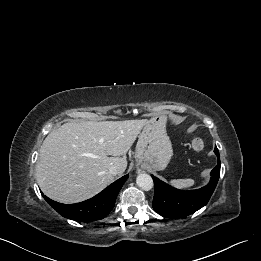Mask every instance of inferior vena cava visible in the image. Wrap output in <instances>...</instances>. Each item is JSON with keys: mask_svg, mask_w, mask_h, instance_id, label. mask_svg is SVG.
Here are the masks:
<instances>
[{"mask_svg": "<svg viewBox=\"0 0 261 261\" xmlns=\"http://www.w3.org/2000/svg\"><path fill=\"white\" fill-rule=\"evenodd\" d=\"M109 173L111 175L115 176V175L120 174L121 172H120V169L117 166H111L110 169H109Z\"/></svg>", "mask_w": 261, "mask_h": 261, "instance_id": "1", "label": "inferior vena cava"}]
</instances>
